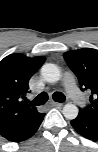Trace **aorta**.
I'll use <instances>...</instances> for the list:
<instances>
[{
    "label": "aorta",
    "instance_id": "762f6f07",
    "mask_svg": "<svg viewBox=\"0 0 98 152\" xmlns=\"http://www.w3.org/2000/svg\"><path fill=\"white\" fill-rule=\"evenodd\" d=\"M41 75L45 81L50 83L57 82L61 78L60 69L55 64L51 63L42 66ZM62 112L65 118L72 120L77 117L79 110L74 104L68 103L63 107Z\"/></svg>",
    "mask_w": 98,
    "mask_h": 152
}]
</instances>
